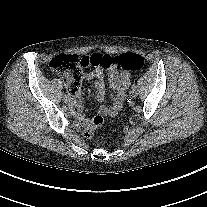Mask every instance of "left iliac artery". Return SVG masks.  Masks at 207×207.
<instances>
[{"instance_id": "obj_1", "label": "left iliac artery", "mask_w": 207, "mask_h": 207, "mask_svg": "<svg viewBox=\"0 0 207 207\" xmlns=\"http://www.w3.org/2000/svg\"><path fill=\"white\" fill-rule=\"evenodd\" d=\"M132 90H135L137 88V86L135 84L132 85Z\"/></svg>"}]
</instances>
